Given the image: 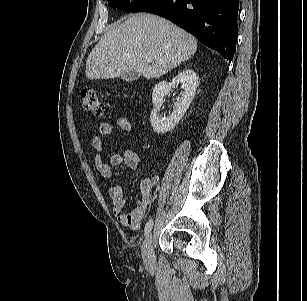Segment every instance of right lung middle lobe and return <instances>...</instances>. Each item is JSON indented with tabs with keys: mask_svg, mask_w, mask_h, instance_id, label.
<instances>
[{
	"mask_svg": "<svg viewBox=\"0 0 307 301\" xmlns=\"http://www.w3.org/2000/svg\"><path fill=\"white\" fill-rule=\"evenodd\" d=\"M155 0H108L112 7L128 12H139Z\"/></svg>",
	"mask_w": 307,
	"mask_h": 301,
	"instance_id": "1",
	"label": "right lung middle lobe"
}]
</instances>
